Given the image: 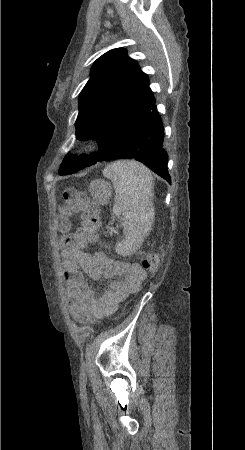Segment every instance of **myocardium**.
<instances>
[{"mask_svg":"<svg viewBox=\"0 0 245 450\" xmlns=\"http://www.w3.org/2000/svg\"><path fill=\"white\" fill-rule=\"evenodd\" d=\"M101 143L98 140L91 141L87 147L89 152H96L100 149Z\"/></svg>","mask_w":245,"mask_h":450,"instance_id":"myocardium-1","label":"myocardium"}]
</instances>
